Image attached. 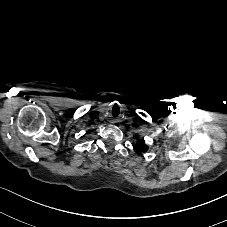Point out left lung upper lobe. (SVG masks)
Listing matches in <instances>:
<instances>
[{
  "label": "left lung upper lobe",
  "instance_id": "left-lung-upper-lobe-1",
  "mask_svg": "<svg viewBox=\"0 0 227 227\" xmlns=\"http://www.w3.org/2000/svg\"><path fill=\"white\" fill-rule=\"evenodd\" d=\"M148 150V146L145 144L144 139H139L137 141V144L135 145L134 151L141 155L142 153H145Z\"/></svg>",
  "mask_w": 227,
  "mask_h": 227
}]
</instances>
